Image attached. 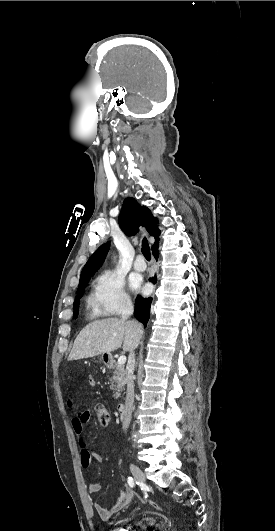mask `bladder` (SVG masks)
Instances as JSON below:
<instances>
[{
  "instance_id": "bladder-1",
  "label": "bladder",
  "mask_w": 275,
  "mask_h": 531,
  "mask_svg": "<svg viewBox=\"0 0 275 531\" xmlns=\"http://www.w3.org/2000/svg\"><path fill=\"white\" fill-rule=\"evenodd\" d=\"M141 524H142V526H144V527L146 526L147 527V526H149L150 523H149V521H147V520L145 521L144 520V521H142Z\"/></svg>"
}]
</instances>
